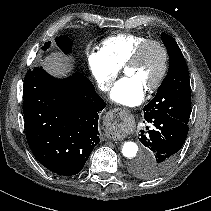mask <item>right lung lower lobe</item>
Here are the masks:
<instances>
[{
	"mask_svg": "<svg viewBox=\"0 0 211 211\" xmlns=\"http://www.w3.org/2000/svg\"><path fill=\"white\" fill-rule=\"evenodd\" d=\"M23 113L36 159L63 176L79 173L100 142L98 115L106 104L83 74L57 79L35 67L26 73Z\"/></svg>",
	"mask_w": 211,
	"mask_h": 211,
	"instance_id": "98d812e1",
	"label": "right lung lower lobe"
}]
</instances>
